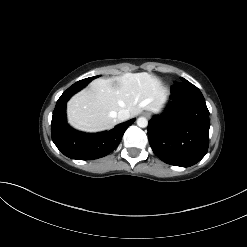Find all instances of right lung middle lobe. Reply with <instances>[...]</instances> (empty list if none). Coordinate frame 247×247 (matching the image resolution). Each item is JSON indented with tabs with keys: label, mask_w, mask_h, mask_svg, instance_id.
<instances>
[{
	"label": "right lung middle lobe",
	"mask_w": 247,
	"mask_h": 247,
	"mask_svg": "<svg viewBox=\"0 0 247 247\" xmlns=\"http://www.w3.org/2000/svg\"><path fill=\"white\" fill-rule=\"evenodd\" d=\"M97 77H99V76L89 77V78L80 80V81H78V82L87 84V83H89L90 81H92L93 79H95V78H97Z\"/></svg>",
	"instance_id": "1"
}]
</instances>
